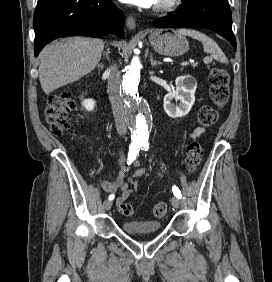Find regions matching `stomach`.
<instances>
[{"label": "stomach", "instance_id": "stomach-1", "mask_svg": "<svg viewBox=\"0 0 272 282\" xmlns=\"http://www.w3.org/2000/svg\"><path fill=\"white\" fill-rule=\"evenodd\" d=\"M149 41L153 49L161 55L180 56L189 49L187 39L176 31L169 29L151 31Z\"/></svg>", "mask_w": 272, "mask_h": 282}]
</instances>
